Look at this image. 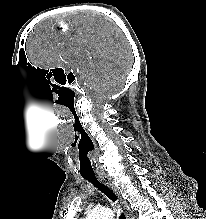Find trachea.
Masks as SVG:
<instances>
[{
    "instance_id": "trachea-1",
    "label": "trachea",
    "mask_w": 206,
    "mask_h": 219,
    "mask_svg": "<svg viewBox=\"0 0 206 219\" xmlns=\"http://www.w3.org/2000/svg\"><path fill=\"white\" fill-rule=\"evenodd\" d=\"M84 179L93 184L101 193L106 195L111 201L115 202L117 200L116 194L104 183H102L95 174L82 175ZM119 219H126L124 213H121Z\"/></svg>"
}]
</instances>
